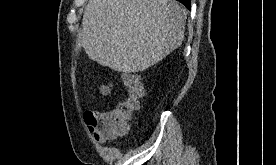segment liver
I'll return each mask as SVG.
<instances>
[{
    "instance_id": "obj_1",
    "label": "liver",
    "mask_w": 276,
    "mask_h": 165,
    "mask_svg": "<svg viewBox=\"0 0 276 165\" xmlns=\"http://www.w3.org/2000/svg\"><path fill=\"white\" fill-rule=\"evenodd\" d=\"M186 18L175 0H89L79 37L89 59L118 72H141L182 44Z\"/></svg>"
}]
</instances>
